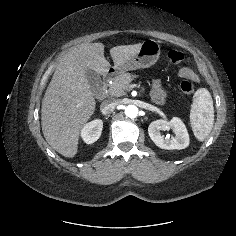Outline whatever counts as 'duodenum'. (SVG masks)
<instances>
[{
	"label": "duodenum",
	"mask_w": 236,
	"mask_h": 236,
	"mask_svg": "<svg viewBox=\"0 0 236 236\" xmlns=\"http://www.w3.org/2000/svg\"><path fill=\"white\" fill-rule=\"evenodd\" d=\"M115 75V70L114 69H108L105 71L102 75V86L100 91L98 92V98L103 99L106 94V90L109 84V81L111 78Z\"/></svg>",
	"instance_id": "duodenum-1"
}]
</instances>
